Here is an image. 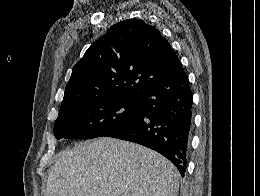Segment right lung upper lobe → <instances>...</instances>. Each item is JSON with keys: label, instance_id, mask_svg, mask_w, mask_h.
Segmentation results:
<instances>
[{"label": "right lung upper lobe", "instance_id": "obj_1", "mask_svg": "<svg viewBox=\"0 0 260 196\" xmlns=\"http://www.w3.org/2000/svg\"><path fill=\"white\" fill-rule=\"evenodd\" d=\"M182 72L158 29L127 19L113 25L73 67L60 109L104 94L139 98Z\"/></svg>", "mask_w": 260, "mask_h": 196}]
</instances>
